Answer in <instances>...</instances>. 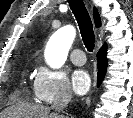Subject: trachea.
I'll return each mask as SVG.
<instances>
[{"mask_svg": "<svg viewBox=\"0 0 133 118\" xmlns=\"http://www.w3.org/2000/svg\"><path fill=\"white\" fill-rule=\"evenodd\" d=\"M69 6L77 20L80 33L89 52H92L95 46V35L93 24L83 0H68Z\"/></svg>", "mask_w": 133, "mask_h": 118, "instance_id": "3493384b", "label": "trachea"}]
</instances>
